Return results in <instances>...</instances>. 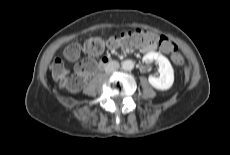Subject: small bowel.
Instances as JSON below:
<instances>
[{"mask_svg":"<svg viewBox=\"0 0 230 155\" xmlns=\"http://www.w3.org/2000/svg\"><path fill=\"white\" fill-rule=\"evenodd\" d=\"M118 47H120V46L119 45H109L108 46V48L111 49V50L117 49ZM141 49L145 53L152 52V51H154L156 49V44L153 43V44H149V45H146V46H142Z\"/></svg>","mask_w":230,"mask_h":155,"instance_id":"obj_1","label":"small bowel"}]
</instances>
